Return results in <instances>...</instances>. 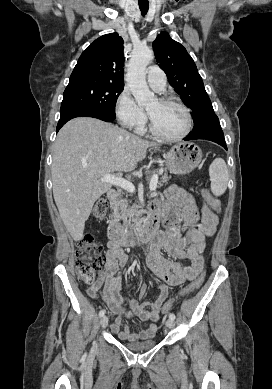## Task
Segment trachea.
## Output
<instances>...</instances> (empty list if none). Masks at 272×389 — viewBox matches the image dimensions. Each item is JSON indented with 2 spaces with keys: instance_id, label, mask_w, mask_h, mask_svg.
<instances>
[{
  "instance_id": "1",
  "label": "trachea",
  "mask_w": 272,
  "mask_h": 389,
  "mask_svg": "<svg viewBox=\"0 0 272 389\" xmlns=\"http://www.w3.org/2000/svg\"><path fill=\"white\" fill-rule=\"evenodd\" d=\"M139 8H140L142 16H145L148 12L149 4H139Z\"/></svg>"
}]
</instances>
